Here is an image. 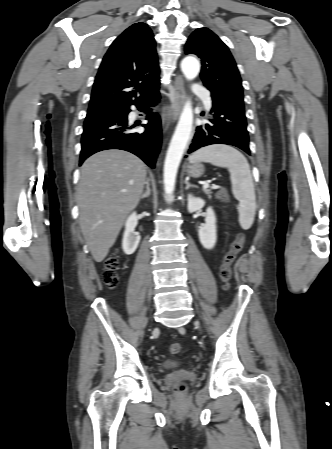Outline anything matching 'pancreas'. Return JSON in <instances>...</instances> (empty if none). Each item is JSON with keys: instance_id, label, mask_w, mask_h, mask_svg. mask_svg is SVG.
<instances>
[{"instance_id": "1", "label": "pancreas", "mask_w": 332, "mask_h": 449, "mask_svg": "<svg viewBox=\"0 0 332 449\" xmlns=\"http://www.w3.org/2000/svg\"><path fill=\"white\" fill-rule=\"evenodd\" d=\"M204 192L208 196V198L211 199V197H212L211 196V194H212L211 190L205 189ZM226 197H227V194L224 191H220V192H218L216 194V198H226Z\"/></svg>"}]
</instances>
